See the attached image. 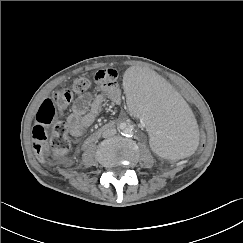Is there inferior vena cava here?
<instances>
[{"label": "inferior vena cava", "instance_id": "602c4592", "mask_svg": "<svg viewBox=\"0 0 243 243\" xmlns=\"http://www.w3.org/2000/svg\"><path fill=\"white\" fill-rule=\"evenodd\" d=\"M114 134H116V129L114 128H109V129H106L104 132H103V137L104 138H107V137H110V136H113Z\"/></svg>", "mask_w": 243, "mask_h": 243}]
</instances>
